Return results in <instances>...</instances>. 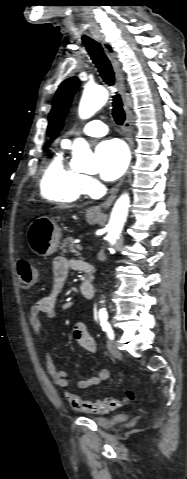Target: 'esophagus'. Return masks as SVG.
Wrapping results in <instances>:
<instances>
[{"instance_id": "1", "label": "esophagus", "mask_w": 187, "mask_h": 479, "mask_svg": "<svg viewBox=\"0 0 187 479\" xmlns=\"http://www.w3.org/2000/svg\"><path fill=\"white\" fill-rule=\"evenodd\" d=\"M100 42H101V44L104 48V51H105L108 59L110 60V62L112 64V67H113V70L115 72L116 79H117L118 89H119V91L122 95V98H123L124 109H125V112H126V119H125V123H124V133H125V136H126V139H127V142L129 144V148H130V151H131V154H132V151H133L132 116H131V113L129 111L128 103L126 101L125 77H124V74H123V71H122V68H121V64H120L119 60L117 59V54L114 51L112 45L110 43L106 42L105 40H100ZM121 185H122V181H120L113 188L110 196L106 199V201H104L100 205L92 206L89 209V212L92 213V214H97V215L102 214V210L109 208L111 206V204L113 203V201L115 200L116 195H117Z\"/></svg>"}]
</instances>
